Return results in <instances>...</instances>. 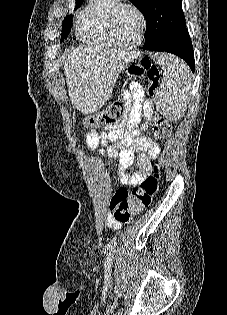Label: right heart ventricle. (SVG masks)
<instances>
[{
    "label": "right heart ventricle",
    "instance_id": "1",
    "mask_svg": "<svg viewBox=\"0 0 227 315\" xmlns=\"http://www.w3.org/2000/svg\"><path fill=\"white\" fill-rule=\"evenodd\" d=\"M120 0H88L78 15V27L85 41L92 45L114 46L107 32L108 17Z\"/></svg>",
    "mask_w": 227,
    "mask_h": 315
}]
</instances>
